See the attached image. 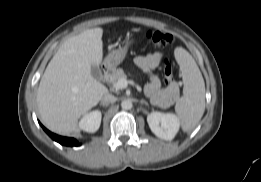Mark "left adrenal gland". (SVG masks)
Here are the masks:
<instances>
[{
	"instance_id": "a2214340",
	"label": "left adrenal gland",
	"mask_w": 261,
	"mask_h": 182,
	"mask_svg": "<svg viewBox=\"0 0 261 182\" xmlns=\"http://www.w3.org/2000/svg\"><path fill=\"white\" fill-rule=\"evenodd\" d=\"M142 104H145V105H148V103L146 101H142L141 102Z\"/></svg>"
}]
</instances>
